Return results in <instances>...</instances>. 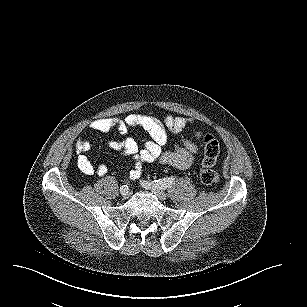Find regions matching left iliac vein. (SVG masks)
I'll use <instances>...</instances> for the list:
<instances>
[{"mask_svg": "<svg viewBox=\"0 0 307 307\" xmlns=\"http://www.w3.org/2000/svg\"><path fill=\"white\" fill-rule=\"evenodd\" d=\"M146 188L151 189L154 192V194L162 201L166 200L168 197V195L165 192H163L161 189L157 188L156 186L151 185L147 186Z\"/></svg>", "mask_w": 307, "mask_h": 307, "instance_id": "1", "label": "left iliac vein"}]
</instances>
